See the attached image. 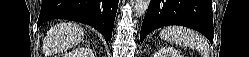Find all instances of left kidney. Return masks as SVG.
I'll use <instances>...</instances> for the list:
<instances>
[{
  "instance_id": "5707ae66",
  "label": "left kidney",
  "mask_w": 249,
  "mask_h": 57,
  "mask_svg": "<svg viewBox=\"0 0 249 57\" xmlns=\"http://www.w3.org/2000/svg\"><path fill=\"white\" fill-rule=\"evenodd\" d=\"M153 57H183V56L173 47H163L158 51H156Z\"/></svg>"
}]
</instances>
